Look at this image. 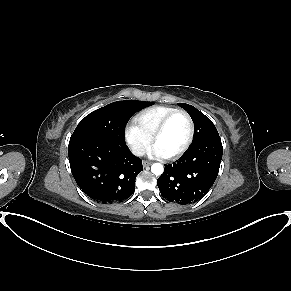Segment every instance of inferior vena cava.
<instances>
[{
    "instance_id": "obj_1",
    "label": "inferior vena cava",
    "mask_w": 291,
    "mask_h": 291,
    "mask_svg": "<svg viewBox=\"0 0 291 291\" xmlns=\"http://www.w3.org/2000/svg\"><path fill=\"white\" fill-rule=\"evenodd\" d=\"M132 153L136 156H143L145 151H144V148L142 146H133L132 147Z\"/></svg>"
}]
</instances>
